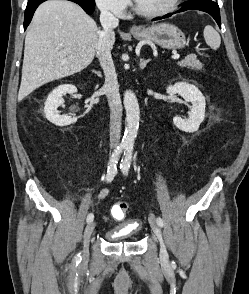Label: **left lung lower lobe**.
Here are the masks:
<instances>
[{"instance_id": "obj_1", "label": "left lung lower lobe", "mask_w": 249, "mask_h": 294, "mask_svg": "<svg viewBox=\"0 0 249 294\" xmlns=\"http://www.w3.org/2000/svg\"><path fill=\"white\" fill-rule=\"evenodd\" d=\"M191 9H195V10H200V11H204L209 13L217 22V24L219 25V27H221V20H220V10H219V6L216 2L212 1V0H194V1H189L186 2L184 4V6L178 10L177 12H183L186 10H191ZM172 14L160 17V18H156L154 20H160L163 18H167L170 17Z\"/></svg>"}]
</instances>
